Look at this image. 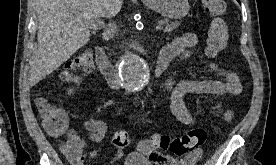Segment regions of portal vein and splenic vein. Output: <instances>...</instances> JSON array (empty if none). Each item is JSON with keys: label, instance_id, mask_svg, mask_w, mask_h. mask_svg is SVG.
<instances>
[{"label": "portal vein and splenic vein", "instance_id": "1", "mask_svg": "<svg viewBox=\"0 0 276 165\" xmlns=\"http://www.w3.org/2000/svg\"><path fill=\"white\" fill-rule=\"evenodd\" d=\"M164 22L160 21L158 26L156 27L157 30L163 29ZM89 26L93 29L103 28L105 26V23L100 19L90 20Z\"/></svg>", "mask_w": 276, "mask_h": 165}]
</instances>
